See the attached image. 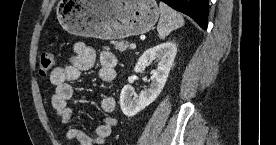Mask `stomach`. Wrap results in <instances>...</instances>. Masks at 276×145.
Returning <instances> with one entry per match:
<instances>
[{"label": "stomach", "instance_id": "1", "mask_svg": "<svg viewBox=\"0 0 276 145\" xmlns=\"http://www.w3.org/2000/svg\"><path fill=\"white\" fill-rule=\"evenodd\" d=\"M57 18L69 33L103 40L141 35L155 25V0H61Z\"/></svg>", "mask_w": 276, "mask_h": 145}]
</instances>
